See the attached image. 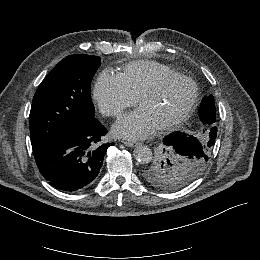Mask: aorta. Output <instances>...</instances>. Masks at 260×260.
<instances>
[{"mask_svg": "<svg viewBox=\"0 0 260 260\" xmlns=\"http://www.w3.org/2000/svg\"><path fill=\"white\" fill-rule=\"evenodd\" d=\"M133 155L142 164H146L153 157L151 149L146 145L135 148Z\"/></svg>", "mask_w": 260, "mask_h": 260, "instance_id": "762f6f07", "label": "aorta"}]
</instances>
